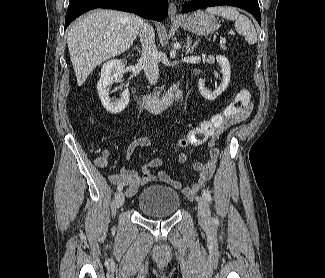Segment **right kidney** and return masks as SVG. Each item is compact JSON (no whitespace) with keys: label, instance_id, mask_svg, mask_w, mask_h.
I'll use <instances>...</instances> for the list:
<instances>
[{"label":"right kidney","instance_id":"1","mask_svg":"<svg viewBox=\"0 0 325 278\" xmlns=\"http://www.w3.org/2000/svg\"><path fill=\"white\" fill-rule=\"evenodd\" d=\"M125 64L120 59H112L103 64L101 76L97 83V91L102 106L108 112L117 114L123 111L129 103V90L121 93V98L112 100L109 98V86L115 81H120L124 73Z\"/></svg>","mask_w":325,"mask_h":278}]
</instances>
